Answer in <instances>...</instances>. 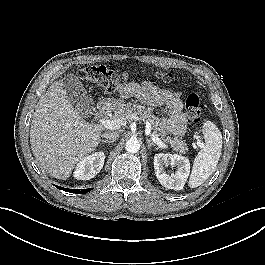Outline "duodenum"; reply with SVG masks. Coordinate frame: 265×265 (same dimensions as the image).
<instances>
[{
  "label": "duodenum",
  "instance_id": "1",
  "mask_svg": "<svg viewBox=\"0 0 265 265\" xmlns=\"http://www.w3.org/2000/svg\"><path fill=\"white\" fill-rule=\"evenodd\" d=\"M108 108H109V102L104 101L99 103L94 109V116L95 117L102 116L103 114H105Z\"/></svg>",
  "mask_w": 265,
  "mask_h": 265
}]
</instances>
